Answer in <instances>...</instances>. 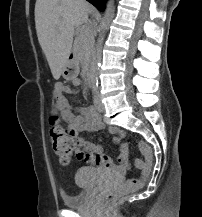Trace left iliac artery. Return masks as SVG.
I'll return each instance as SVG.
<instances>
[{"instance_id":"1","label":"left iliac artery","mask_w":202,"mask_h":217,"mask_svg":"<svg viewBox=\"0 0 202 217\" xmlns=\"http://www.w3.org/2000/svg\"><path fill=\"white\" fill-rule=\"evenodd\" d=\"M97 86H98V83H93V84H92L93 92H96Z\"/></svg>"}]
</instances>
